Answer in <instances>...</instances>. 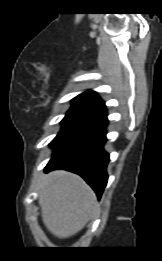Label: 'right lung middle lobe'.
<instances>
[{"mask_svg": "<svg viewBox=\"0 0 162 261\" xmlns=\"http://www.w3.org/2000/svg\"><path fill=\"white\" fill-rule=\"evenodd\" d=\"M101 109H103V105L100 102L79 96L75 97L72 100V107L61 122L62 129L84 117L98 112Z\"/></svg>", "mask_w": 162, "mask_h": 261, "instance_id": "1", "label": "right lung middle lobe"}]
</instances>
